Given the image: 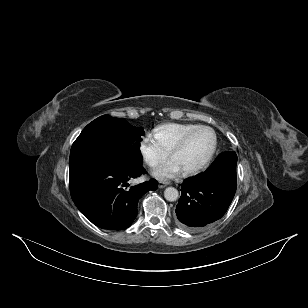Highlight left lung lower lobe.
<instances>
[{"label":"left lung lower lobe","instance_id":"left-lung-lower-lobe-1","mask_svg":"<svg viewBox=\"0 0 308 308\" xmlns=\"http://www.w3.org/2000/svg\"><path fill=\"white\" fill-rule=\"evenodd\" d=\"M237 155L221 153L206 172L184 181L176 207L177 223L196 231L220 219L235 195Z\"/></svg>","mask_w":308,"mask_h":308}]
</instances>
